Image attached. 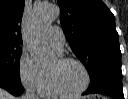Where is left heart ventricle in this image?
<instances>
[{"label": "left heart ventricle", "mask_w": 128, "mask_h": 99, "mask_svg": "<svg viewBox=\"0 0 128 99\" xmlns=\"http://www.w3.org/2000/svg\"><path fill=\"white\" fill-rule=\"evenodd\" d=\"M48 71L53 74L59 88L66 92L79 90L85 82L83 70L73 62L61 63L57 59Z\"/></svg>", "instance_id": "1"}]
</instances>
